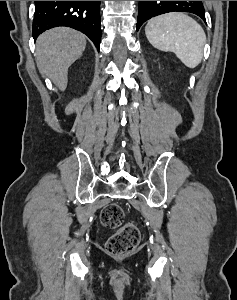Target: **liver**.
<instances>
[{
	"label": "liver",
	"mask_w": 237,
	"mask_h": 300,
	"mask_svg": "<svg viewBox=\"0 0 237 300\" xmlns=\"http://www.w3.org/2000/svg\"><path fill=\"white\" fill-rule=\"evenodd\" d=\"M85 47L86 37L79 31L68 27L50 29L36 41L37 67L60 91H65L68 69L81 57Z\"/></svg>",
	"instance_id": "6515ba94"
}]
</instances>
